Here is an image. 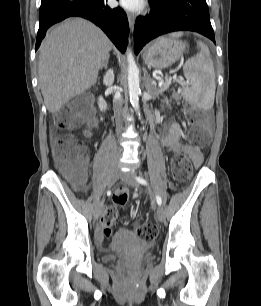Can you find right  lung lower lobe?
Listing matches in <instances>:
<instances>
[{
  "mask_svg": "<svg viewBox=\"0 0 261 306\" xmlns=\"http://www.w3.org/2000/svg\"><path fill=\"white\" fill-rule=\"evenodd\" d=\"M106 0H42L39 11V30L35 50L47 29L69 16H81L99 26L122 52H125L129 24L125 12L110 8Z\"/></svg>",
  "mask_w": 261,
  "mask_h": 306,
  "instance_id": "98d812e1",
  "label": "right lung lower lobe"
}]
</instances>
